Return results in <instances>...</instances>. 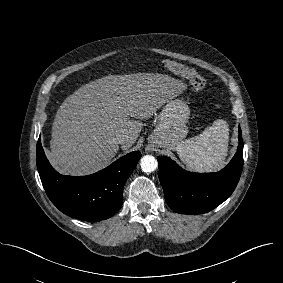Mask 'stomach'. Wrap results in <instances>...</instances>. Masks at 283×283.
<instances>
[{"mask_svg": "<svg viewBox=\"0 0 283 283\" xmlns=\"http://www.w3.org/2000/svg\"><path fill=\"white\" fill-rule=\"evenodd\" d=\"M189 117L190 109L186 102L170 99L158 115V125L150 134L148 143L153 147L176 149L187 136Z\"/></svg>", "mask_w": 283, "mask_h": 283, "instance_id": "stomach-1", "label": "stomach"}]
</instances>
